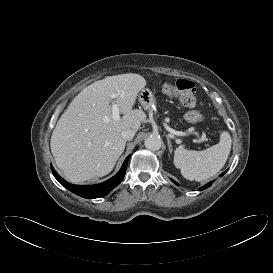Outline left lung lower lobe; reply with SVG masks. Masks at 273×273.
<instances>
[{
  "label": "left lung lower lobe",
  "mask_w": 273,
  "mask_h": 273,
  "mask_svg": "<svg viewBox=\"0 0 273 273\" xmlns=\"http://www.w3.org/2000/svg\"><path fill=\"white\" fill-rule=\"evenodd\" d=\"M226 173V171L225 172H223L222 174H221V176H223L224 174ZM176 185H178V183L177 182H175L174 180H172ZM211 182H209L208 184H206V185H204L203 187H201L199 190L201 191V190H204V189H206V188H208V187H210L211 186Z\"/></svg>",
  "instance_id": "obj_1"
}]
</instances>
